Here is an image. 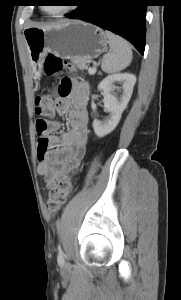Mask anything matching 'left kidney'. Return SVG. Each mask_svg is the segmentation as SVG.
I'll return each instance as SVG.
<instances>
[{"mask_svg": "<svg viewBox=\"0 0 181 300\" xmlns=\"http://www.w3.org/2000/svg\"><path fill=\"white\" fill-rule=\"evenodd\" d=\"M114 83H120L121 87H116ZM136 83V76L130 73H118L104 78L98 85L99 90H103L104 105L110 113L109 118L101 122L97 119L93 121L94 132L98 137H104L111 133L118 125L121 115L131 98L133 87ZM122 90L118 99L114 90Z\"/></svg>", "mask_w": 181, "mask_h": 300, "instance_id": "left-kidney-1", "label": "left kidney"}]
</instances>
